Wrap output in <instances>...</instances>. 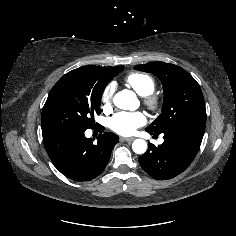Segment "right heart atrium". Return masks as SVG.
I'll list each match as a JSON object with an SVG mask.
<instances>
[{
    "instance_id": "d8ad5b80",
    "label": "right heart atrium",
    "mask_w": 236,
    "mask_h": 236,
    "mask_svg": "<svg viewBox=\"0 0 236 236\" xmlns=\"http://www.w3.org/2000/svg\"><path fill=\"white\" fill-rule=\"evenodd\" d=\"M114 90H115L114 84H109L105 87L104 91L101 94L100 101L102 108L105 111H108L112 108Z\"/></svg>"
}]
</instances>
